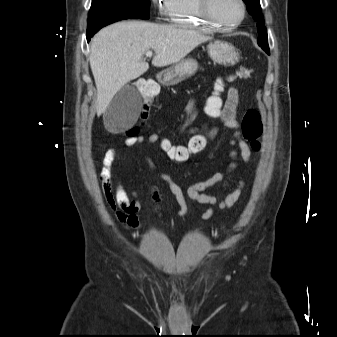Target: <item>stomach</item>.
<instances>
[{"label": "stomach", "mask_w": 337, "mask_h": 337, "mask_svg": "<svg viewBox=\"0 0 337 337\" xmlns=\"http://www.w3.org/2000/svg\"><path fill=\"white\" fill-rule=\"evenodd\" d=\"M208 54L215 62L224 65H234L239 61V53L236 48L224 41L211 42L208 45ZM197 69L198 63L195 59H183L163 70L158 75V80L163 84H177L194 75Z\"/></svg>", "instance_id": "obj_1"}]
</instances>
